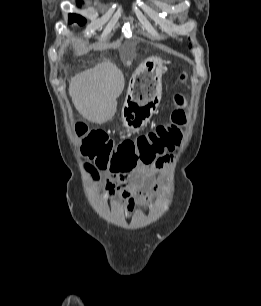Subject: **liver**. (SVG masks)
<instances>
[{
    "label": "liver",
    "mask_w": 261,
    "mask_h": 306,
    "mask_svg": "<svg viewBox=\"0 0 261 306\" xmlns=\"http://www.w3.org/2000/svg\"><path fill=\"white\" fill-rule=\"evenodd\" d=\"M124 84L120 69L105 62L75 75L69 83V95L85 119L102 124L115 115Z\"/></svg>",
    "instance_id": "1"
}]
</instances>
